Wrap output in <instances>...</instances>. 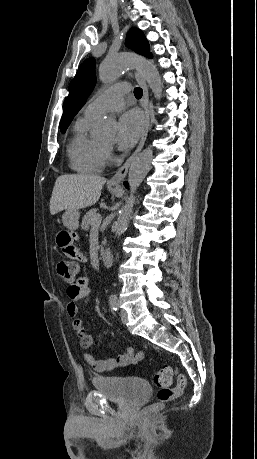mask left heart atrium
Instances as JSON below:
<instances>
[{
    "label": "left heart atrium",
    "mask_w": 257,
    "mask_h": 459,
    "mask_svg": "<svg viewBox=\"0 0 257 459\" xmlns=\"http://www.w3.org/2000/svg\"><path fill=\"white\" fill-rule=\"evenodd\" d=\"M144 127L142 115L131 110L123 114L118 122L117 145L121 150L132 148L138 141Z\"/></svg>",
    "instance_id": "39dd6f15"
}]
</instances>
